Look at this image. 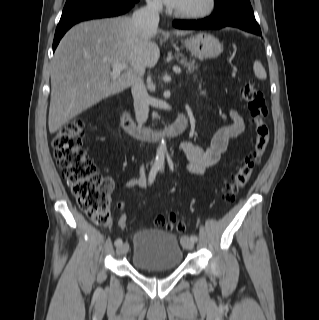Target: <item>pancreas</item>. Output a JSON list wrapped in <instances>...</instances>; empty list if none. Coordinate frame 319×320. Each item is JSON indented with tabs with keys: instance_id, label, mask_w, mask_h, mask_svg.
Listing matches in <instances>:
<instances>
[{
	"instance_id": "1",
	"label": "pancreas",
	"mask_w": 319,
	"mask_h": 320,
	"mask_svg": "<svg viewBox=\"0 0 319 320\" xmlns=\"http://www.w3.org/2000/svg\"><path fill=\"white\" fill-rule=\"evenodd\" d=\"M179 58H181L180 63L183 65V67L187 69V73L194 74L195 71L198 69L197 65L195 64V61H188L187 58H185L183 55L175 54V59L179 60Z\"/></svg>"
}]
</instances>
